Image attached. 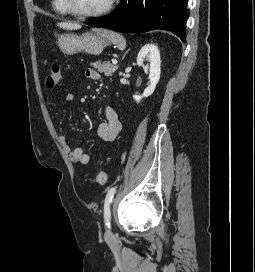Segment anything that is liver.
Wrapping results in <instances>:
<instances>
[{"label":"liver","mask_w":255,"mask_h":272,"mask_svg":"<svg viewBox=\"0 0 255 272\" xmlns=\"http://www.w3.org/2000/svg\"><path fill=\"white\" fill-rule=\"evenodd\" d=\"M58 26L66 30H77L81 28V25L71 22H60L58 23Z\"/></svg>","instance_id":"1"}]
</instances>
